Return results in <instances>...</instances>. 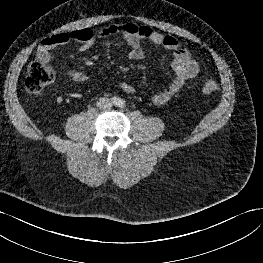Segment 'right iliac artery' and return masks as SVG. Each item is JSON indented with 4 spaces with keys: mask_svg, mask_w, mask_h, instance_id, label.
I'll return each mask as SVG.
<instances>
[{
    "mask_svg": "<svg viewBox=\"0 0 263 263\" xmlns=\"http://www.w3.org/2000/svg\"><path fill=\"white\" fill-rule=\"evenodd\" d=\"M113 103L117 104L119 103V99H117L116 97L113 98Z\"/></svg>",
    "mask_w": 263,
    "mask_h": 263,
    "instance_id": "right-iliac-artery-1",
    "label": "right iliac artery"
}]
</instances>
